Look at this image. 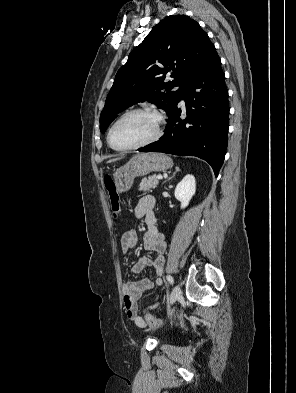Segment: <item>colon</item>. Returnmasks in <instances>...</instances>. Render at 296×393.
Masks as SVG:
<instances>
[{
    "mask_svg": "<svg viewBox=\"0 0 296 393\" xmlns=\"http://www.w3.org/2000/svg\"><path fill=\"white\" fill-rule=\"evenodd\" d=\"M104 187L109 195L111 210H112L113 214L115 216H117L118 213L120 212V202H119V196H118L117 190H116V185H115V182H114L112 176L106 175L104 177ZM145 321L149 325L154 326V327L162 326V322L160 320L154 318L150 313H146Z\"/></svg>",
    "mask_w": 296,
    "mask_h": 393,
    "instance_id": "colon-1",
    "label": "colon"
}]
</instances>
